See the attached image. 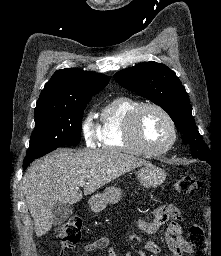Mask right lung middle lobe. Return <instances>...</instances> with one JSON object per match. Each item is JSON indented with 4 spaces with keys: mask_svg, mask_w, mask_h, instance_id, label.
I'll return each instance as SVG.
<instances>
[{
    "mask_svg": "<svg viewBox=\"0 0 221 256\" xmlns=\"http://www.w3.org/2000/svg\"><path fill=\"white\" fill-rule=\"evenodd\" d=\"M90 100L91 98L83 99L75 107L35 112V129L23 161L24 168L33 159L42 157L57 147L79 144L84 108Z\"/></svg>",
    "mask_w": 221,
    "mask_h": 256,
    "instance_id": "right-lung-middle-lobe-1",
    "label": "right lung middle lobe"
}]
</instances>
